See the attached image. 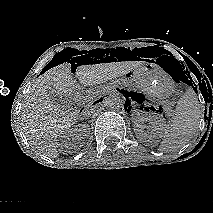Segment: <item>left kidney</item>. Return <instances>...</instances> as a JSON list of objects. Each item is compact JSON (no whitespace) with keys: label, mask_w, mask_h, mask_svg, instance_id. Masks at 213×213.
<instances>
[{"label":"left kidney","mask_w":213,"mask_h":213,"mask_svg":"<svg viewBox=\"0 0 213 213\" xmlns=\"http://www.w3.org/2000/svg\"><path fill=\"white\" fill-rule=\"evenodd\" d=\"M132 123L138 138L145 141H149L156 137V135L161 132L164 125L163 120L158 115L140 110L133 113ZM145 123H149L151 125L150 133H146V131H144L146 127Z\"/></svg>","instance_id":"1"}]
</instances>
